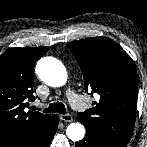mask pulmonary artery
<instances>
[{"label":"pulmonary artery","instance_id":"e3ab8cb5","mask_svg":"<svg viewBox=\"0 0 147 147\" xmlns=\"http://www.w3.org/2000/svg\"><path fill=\"white\" fill-rule=\"evenodd\" d=\"M67 98L69 100V102L71 103V105L76 108V109H80L82 106V100L81 97L79 95H77L74 91L72 90H68L67 93Z\"/></svg>","mask_w":147,"mask_h":147}]
</instances>
